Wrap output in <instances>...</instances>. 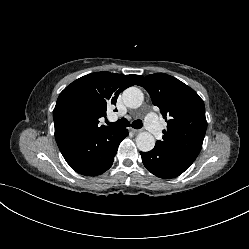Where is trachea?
Returning <instances> with one entry per match:
<instances>
[{
  "label": "trachea",
  "mask_w": 249,
  "mask_h": 249,
  "mask_svg": "<svg viewBox=\"0 0 249 249\" xmlns=\"http://www.w3.org/2000/svg\"><path fill=\"white\" fill-rule=\"evenodd\" d=\"M106 123L109 125V126H112V127H119V128H123V127H128L130 126V123L129 121L126 119V118H122L116 122H109V121H106ZM132 127L135 128V129H140L142 127V121L141 120H135L133 121L132 123Z\"/></svg>",
  "instance_id": "3493384b"
}]
</instances>
